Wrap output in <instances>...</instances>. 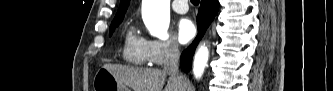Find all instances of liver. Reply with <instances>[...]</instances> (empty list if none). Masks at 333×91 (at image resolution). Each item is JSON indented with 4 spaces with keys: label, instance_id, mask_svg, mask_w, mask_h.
Segmentation results:
<instances>
[{
    "label": "liver",
    "instance_id": "obj_1",
    "mask_svg": "<svg viewBox=\"0 0 333 91\" xmlns=\"http://www.w3.org/2000/svg\"><path fill=\"white\" fill-rule=\"evenodd\" d=\"M103 68L133 91H162L168 76L163 70L156 68H139L115 64H105ZM187 83L169 77L164 91H186Z\"/></svg>",
    "mask_w": 333,
    "mask_h": 91
}]
</instances>
